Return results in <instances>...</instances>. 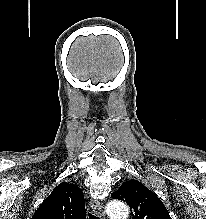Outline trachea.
Segmentation results:
<instances>
[{"mask_svg":"<svg viewBox=\"0 0 206 219\" xmlns=\"http://www.w3.org/2000/svg\"><path fill=\"white\" fill-rule=\"evenodd\" d=\"M89 219H100L96 215H93L92 213H88Z\"/></svg>","mask_w":206,"mask_h":219,"instance_id":"3493384b","label":"trachea"}]
</instances>
